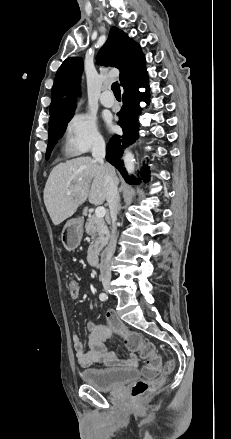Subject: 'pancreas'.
Wrapping results in <instances>:
<instances>
[{"instance_id":"1","label":"pancreas","mask_w":231,"mask_h":439,"mask_svg":"<svg viewBox=\"0 0 231 439\" xmlns=\"http://www.w3.org/2000/svg\"><path fill=\"white\" fill-rule=\"evenodd\" d=\"M86 233L91 236L92 242L88 253L99 252L109 239V230L105 220L95 215L89 216L85 224Z\"/></svg>"}]
</instances>
